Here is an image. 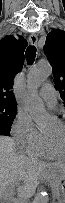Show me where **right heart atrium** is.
<instances>
[{
  "mask_svg": "<svg viewBox=\"0 0 65 203\" xmlns=\"http://www.w3.org/2000/svg\"><path fill=\"white\" fill-rule=\"evenodd\" d=\"M11 134L17 149L25 153L35 148L42 140V135L36 128L31 116L22 111L17 114L13 122Z\"/></svg>",
  "mask_w": 65,
  "mask_h": 203,
  "instance_id": "d8ad5b80",
  "label": "right heart atrium"
}]
</instances>
